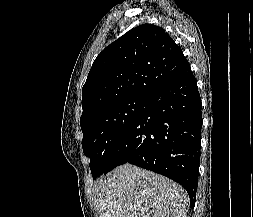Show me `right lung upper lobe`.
I'll return each mask as SVG.
<instances>
[{
  "instance_id": "right-lung-upper-lobe-1",
  "label": "right lung upper lobe",
  "mask_w": 253,
  "mask_h": 217,
  "mask_svg": "<svg viewBox=\"0 0 253 217\" xmlns=\"http://www.w3.org/2000/svg\"><path fill=\"white\" fill-rule=\"evenodd\" d=\"M188 61L161 27L143 24L107 46L95 59L82 89L80 124L131 97L148 98Z\"/></svg>"
}]
</instances>
